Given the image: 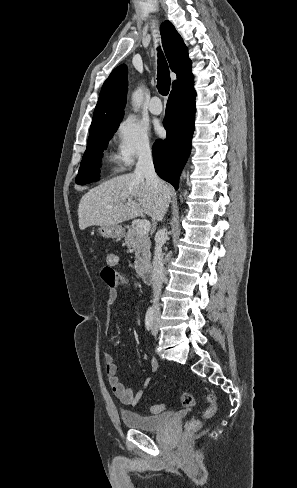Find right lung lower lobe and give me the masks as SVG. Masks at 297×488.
Segmentation results:
<instances>
[{"mask_svg": "<svg viewBox=\"0 0 297 488\" xmlns=\"http://www.w3.org/2000/svg\"><path fill=\"white\" fill-rule=\"evenodd\" d=\"M195 96L193 78L172 87L163 121L167 138L157 140L152 147L157 174L176 190L181 171L191 151Z\"/></svg>", "mask_w": 297, "mask_h": 488, "instance_id": "right-lung-lower-lobe-1", "label": "right lung lower lobe"}]
</instances>
